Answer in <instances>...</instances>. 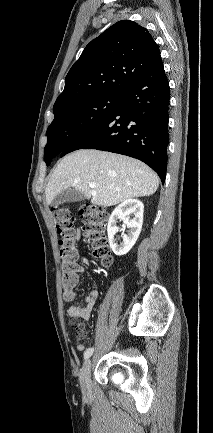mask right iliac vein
I'll return each instance as SVG.
<instances>
[{"instance_id": "obj_1", "label": "right iliac vein", "mask_w": 213, "mask_h": 433, "mask_svg": "<svg viewBox=\"0 0 213 433\" xmlns=\"http://www.w3.org/2000/svg\"><path fill=\"white\" fill-rule=\"evenodd\" d=\"M92 361L88 359L84 362L80 375V386L84 396L91 395L90 374H91Z\"/></svg>"}]
</instances>
